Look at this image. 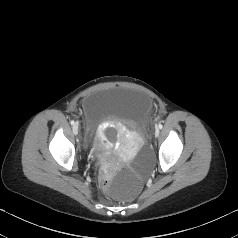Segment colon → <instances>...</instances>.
<instances>
[{
	"label": "colon",
	"mask_w": 238,
	"mask_h": 238,
	"mask_svg": "<svg viewBox=\"0 0 238 238\" xmlns=\"http://www.w3.org/2000/svg\"><path fill=\"white\" fill-rule=\"evenodd\" d=\"M100 185L103 189H106L109 185V180L106 177L101 178Z\"/></svg>",
	"instance_id": "1"
}]
</instances>
